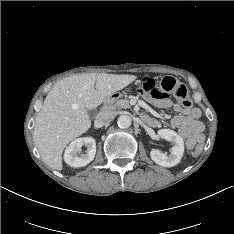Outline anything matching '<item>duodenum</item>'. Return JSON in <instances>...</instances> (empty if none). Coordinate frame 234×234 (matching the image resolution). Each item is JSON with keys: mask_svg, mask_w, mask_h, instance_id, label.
<instances>
[{"mask_svg": "<svg viewBox=\"0 0 234 234\" xmlns=\"http://www.w3.org/2000/svg\"><path fill=\"white\" fill-rule=\"evenodd\" d=\"M118 97H119L118 93H114L108 96L103 103V109L104 110L110 109L112 105L114 104V102L118 99Z\"/></svg>", "mask_w": 234, "mask_h": 234, "instance_id": "410a0bca", "label": "duodenum"}]
</instances>
